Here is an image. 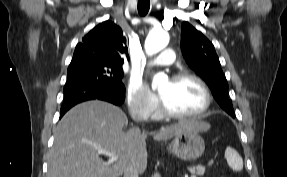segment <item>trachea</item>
Returning a JSON list of instances; mask_svg holds the SVG:
<instances>
[{
  "instance_id": "3493384b",
  "label": "trachea",
  "mask_w": 287,
  "mask_h": 177,
  "mask_svg": "<svg viewBox=\"0 0 287 177\" xmlns=\"http://www.w3.org/2000/svg\"><path fill=\"white\" fill-rule=\"evenodd\" d=\"M150 8V0H139L138 1V12L141 16H145Z\"/></svg>"
}]
</instances>
